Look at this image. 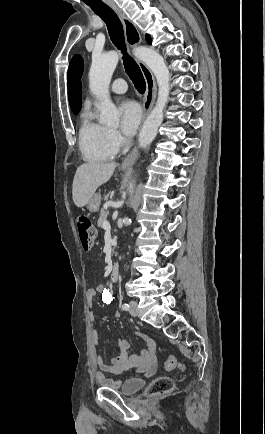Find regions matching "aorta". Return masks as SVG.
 I'll return each instance as SVG.
<instances>
[{"label": "aorta", "instance_id": "obj_1", "mask_svg": "<svg viewBox=\"0 0 265 434\" xmlns=\"http://www.w3.org/2000/svg\"><path fill=\"white\" fill-rule=\"evenodd\" d=\"M135 58L142 60L151 72H153L158 84V98L150 112L143 128L139 134L140 148H147L154 138L163 122L164 108L168 102L170 92V72L164 62V58L160 56L159 52H155L152 48H133L132 50ZM118 52H106L101 56H92V64L89 72V90L100 100L98 106L100 110L99 122H103L106 126H119V112L114 106L109 96V84L113 76V72L119 62ZM134 184H130V192L133 190ZM129 218H124V224H129Z\"/></svg>", "mask_w": 265, "mask_h": 434}]
</instances>
